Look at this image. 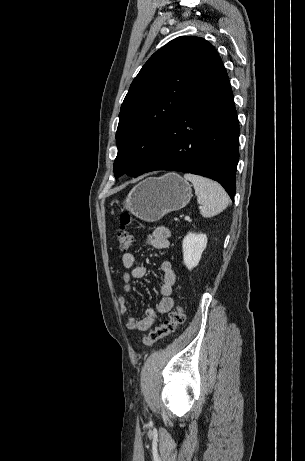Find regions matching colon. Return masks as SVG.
Wrapping results in <instances>:
<instances>
[{
    "label": "colon",
    "instance_id": "1",
    "mask_svg": "<svg viewBox=\"0 0 305 461\" xmlns=\"http://www.w3.org/2000/svg\"><path fill=\"white\" fill-rule=\"evenodd\" d=\"M120 227L117 233V240L121 250L130 248L133 244V234L129 229L131 216L129 213H122L119 218ZM185 321V315L180 305H177L159 327L155 328L142 339V344L150 346L175 332L178 326Z\"/></svg>",
    "mask_w": 305,
    "mask_h": 461
}]
</instances>
